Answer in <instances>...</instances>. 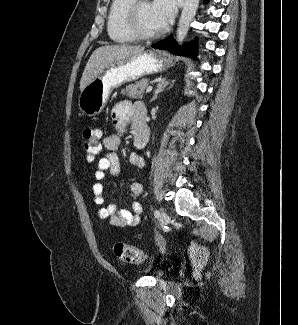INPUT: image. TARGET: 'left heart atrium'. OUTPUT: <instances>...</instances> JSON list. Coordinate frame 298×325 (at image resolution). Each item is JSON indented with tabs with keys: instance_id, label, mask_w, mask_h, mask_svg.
Listing matches in <instances>:
<instances>
[{
	"instance_id": "left-heart-atrium-1",
	"label": "left heart atrium",
	"mask_w": 298,
	"mask_h": 325,
	"mask_svg": "<svg viewBox=\"0 0 298 325\" xmlns=\"http://www.w3.org/2000/svg\"><path fill=\"white\" fill-rule=\"evenodd\" d=\"M155 10L162 30L166 29L173 21L176 14V6L174 1L157 0L155 2Z\"/></svg>"
}]
</instances>
